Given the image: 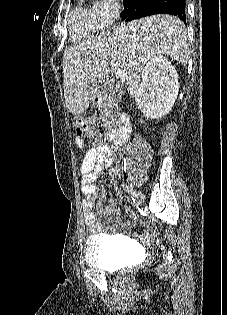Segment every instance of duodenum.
<instances>
[{
  "mask_svg": "<svg viewBox=\"0 0 227 315\" xmlns=\"http://www.w3.org/2000/svg\"><path fill=\"white\" fill-rule=\"evenodd\" d=\"M131 133V121L129 115L126 113H121L117 128L111 130L108 134L109 141L115 146L125 145Z\"/></svg>",
  "mask_w": 227,
  "mask_h": 315,
  "instance_id": "duodenum-1",
  "label": "duodenum"
}]
</instances>
